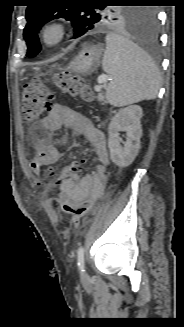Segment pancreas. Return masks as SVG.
<instances>
[{"label": "pancreas", "mask_w": 184, "mask_h": 327, "mask_svg": "<svg viewBox=\"0 0 184 327\" xmlns=\"http://www.w3.org/2000/svg\"><path fill=\"white\" fill-rule=\"evenodd\" d=\"M97 98H98V100L101 101V102H104V103L106 102V101H105V97H104V95H103L102 93H99L98 96H97Z\"/></svg>", "instance_id": "pancreas-1"}]
</instances>
